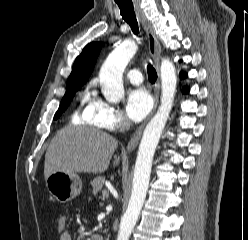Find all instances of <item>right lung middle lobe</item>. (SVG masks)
Returning a JSON list of instances; mask_svg holds the SVG:
<instances>
[{
    "label": "right lung middle lobe",
    "mask_w": 248,
    "mask_h": 240,
    "mask_svg": "<svg viewBox=\"0 0 248 240\" xmlns=\"http://www.w3.org/2000/svg\"><path fill=\"white\" fill-rule=\"evenodd\" d=\"M82 85L83 83H81L80 81L73 80V81L67 82L66 93L64 97L62 98L59 109L56 112L54 119H57L66 110L75 92L79 90Z\"/></svg>",
    "instance_id": "obj_1"
}]
</instances>
